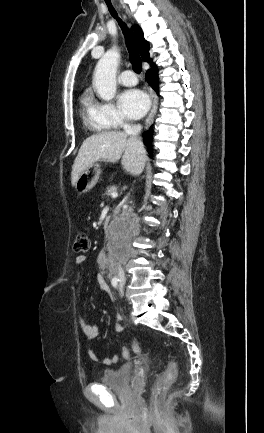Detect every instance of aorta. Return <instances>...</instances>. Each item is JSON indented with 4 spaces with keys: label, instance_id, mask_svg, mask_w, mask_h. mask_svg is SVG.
I'll list each match as a JSON object with an SVG mask.
<instances>
[{
    "label": "aorta",
    "instance_id": "1",
    "mask_svg": "<svg viewBox=\"0 0 264 433\" xmlns=\"http://www.w3.org/2000/svg\"><path fill=\"white\" fill-rule=\"evenodd\" d=\"M119 60V52L112 49L107 51L96 65L93 85L97 94L105 101H110L115 96Z\"/></svg>",
    "mask_w": 264,
    "mask_h": 433
}]
</instances>
